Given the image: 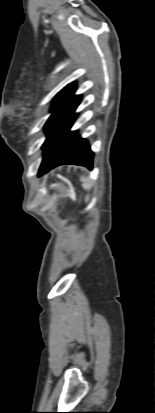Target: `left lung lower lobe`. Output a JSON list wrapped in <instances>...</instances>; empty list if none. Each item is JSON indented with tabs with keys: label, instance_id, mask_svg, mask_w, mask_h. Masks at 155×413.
Returning a JSON list of instances; mask_svg holds the SVG:
<instances>
[{
	"label": "left lung lower lobe",
	"instance_id": "0a47b994",
	"mask_svg": "<svg viewBox=\"0 0 155 413\" xmlns=\"http://www.w3.org/2000/svg\"><path fill=\"white\" fill-rule=\"evenodd\" d=\"M61 150L42 163L38 175L41 176L51 169L64 165L75 164L92 168L93 152L86 139L76 135V132H66L60 140Z\"/></svg>",
	"mask_w": 155,
	"mask_h": 413
}]
</instances>
